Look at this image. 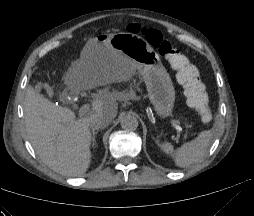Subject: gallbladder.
I'll return each mask as SVG.
<instances>
[{
    "instance_id": "obj_1",
    "label": "gallbladder",
    "mask_w": 254,
    "mask_h": 216,
    "mask_svg": "<svg viewBox=\"0 0 254 216\" xmlns=\"http://www.w3.org/2000/svg\"><path fill=\"white\" fill-rule=\"evenodd\" d=\"M40 88H41V86H37V87H36V90L39 91Z\"/></svg>"
}]
</instances>
